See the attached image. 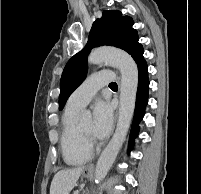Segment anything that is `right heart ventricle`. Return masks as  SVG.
<instances>
[{
  "instance_id": "1",
  "label": "right heart ventricle",
  "mask_w": 201,
  "mask_h": 194,
  "mask_svg": "<svg viewBox=\"0 0 201 194\" xmlns=\"http://www.w3.org/2000/svg\"><path fill=\"white\" fill-rule=\"evenodd\" d=\"M80 109L66 106L61 119L60 145L64 161L80 165L91 158L92 151L82 137L75 117Z\"/></svg>"
}]
</instances>
